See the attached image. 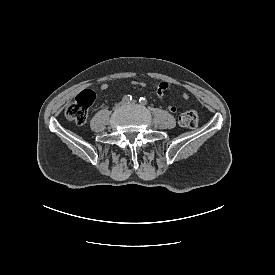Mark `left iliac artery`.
Returning a JSON list of instances; mask_svg holds the SVG:
<instances>
[{
  "mask_svg": "<svg viewBox=\"0 0 275 275\" xmlns=\"http://www.w3.org/2000/svg\"><path fill=\"white\" fill-rule=\"evenodd\" d=\"M139 103L142 104V105H146L147 104V100L145 98L141 97L139 99Z\"/></svg>",
  "mask_w": 275,
  "mask_h": 275,
  "instance_id": "left-iliac-artery-1",
  "label": "left iliac artery"
}]
</instances>
